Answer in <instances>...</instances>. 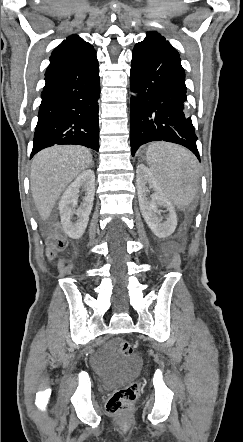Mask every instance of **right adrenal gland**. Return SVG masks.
<instances>
[{
	"label": "right adrenal gland",
	"mask_w": 243,
	"mask_h": 442,
	"mask_svg": "<svg viewBox=\"0 0 243 442\" xmlns=\"http://www.w3.org/2000/svg\"><path fill=\"white\" fill-rule=\"evenodd\" d=\"M91 166L93 167V166H94V163H93V164H91Z\"/></svg>",
	"instance_id": "right-adrenal-gland-1"
}]
</instances>
